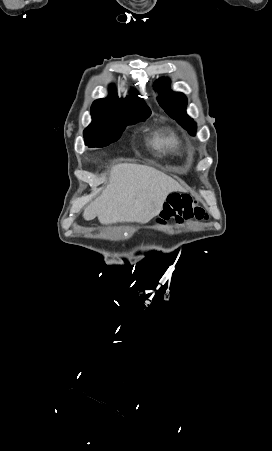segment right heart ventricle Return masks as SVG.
Returning <instances> with one entry per match:
<instances>
[{"instance_id": "e07e8e85", "label": "right heart ventricle", "mask_w": 272, "mask_h": 451, "mask_svg": "<svg viewBox=\"0 0 272 451\" xmlns=\"http://www.w3.org/2000/svg\"><path fill=\"white\" fill-rule=\"evenodd\" d=\"M167 144H172L174 142V139L172 137L166 139L165 141Z\"/></svg>"}]
</instances>
